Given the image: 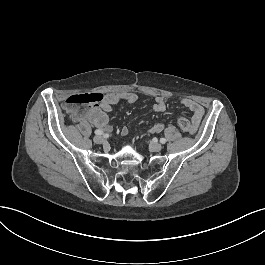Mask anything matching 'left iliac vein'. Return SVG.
<instances>
[{"label": "left iliac vein", "mask_w": 265, "mask_h": 265, "mask_svg": "<svg viewBox=\"0 0 265 265\" xmlns=\"http://www.w3.org/2000/svg\"><path fill=\"white\" fill-rule=\"evenodd\" d=\"M150 148L152 151L154 152H159L161 149H162V145L160 143H155V142H152L150 144Z\"/></svg>", "instance_id": "obj_1"}]
</instances>
